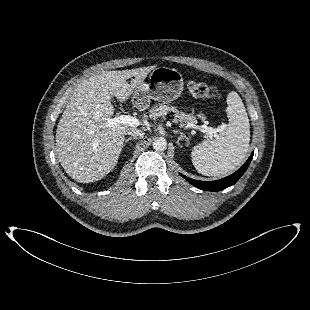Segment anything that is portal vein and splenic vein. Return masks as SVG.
Returning <instances> with one entry per match:
<instances>
[{
	"label": "portal vein and splenic vein",
	"instance_id": "portal-vein-and-splenic-vein-1",
	"mask_svg": "<svg viewBox=\"0 0 310 310\" xmlns=\"http://www.w3.org/2000/svg\"><path fill=\"white\" fill-rule=\"evenodd\" d=\"M117 124H124V125H129L131 127H136L139 125V120L137 118L129 116V115H119V116H116L114 118H110L107 121V127H113ZM185 127L186 128L187 127L199 128L201 132L207 133L209 135V137L212 138V136L216 135L217 132H219L221 129L224 128V125L220 126L218 129H214L212 127H207L205 125L196 126V125L190 123V124H187Z\"/></svg>",
	"mask_w": 310,
	"mask_h": 310
}]
</instances>
